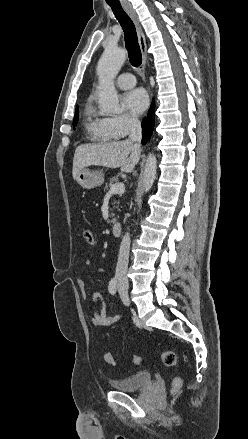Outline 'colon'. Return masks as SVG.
I'll use <instances>...</instances> for the list:
<instances>
[{
    "label": "colon",
    "mask_w": 248,
    "mask_h": 439,
    "mask_svg": "<svg viewBox=\"0 0 248 439\" xmlns=\"http://www.w3.org/2000/svg\"><path fill=\"white\" fill-rule=\"evenodd\" d=\"M83 237H84L85 242L88 245L94 246L96 244V236H95L93 231L85 230L83 232ZM103 358H104L105 362L110 364V365H113L115 363L114 357L110 352H105ZM160 359L164 363V365H166L167 367L174 368V367H177L178 363H179L178 356L173 351H163L160 354ZM132 362L135 365H139L141 362V357L138 355H134L132 357ZM181 385H182V382H181L180 378H175L173 383H172V390H171L173 395H175L179 392Z\"/></svg>",
    "instance_id": "5ec220e1"
}]
</instances>
